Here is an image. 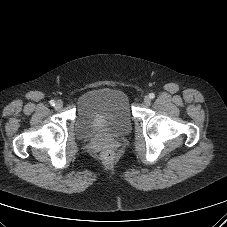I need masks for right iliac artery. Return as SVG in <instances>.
Returning a JSON list of instances; mask_svg holds the SVG:
<instances>
[{
    "label": "right iliac artery",
    "instance_id": "1",
    "mask_svg": "<svg viewBox=\"0 0 227 227\" xmlns=\"http://www.w3.org/2000/svg\"><path fill=\"white\" fill-rule=\"evenodd\" d=\"M50 105L51 106H55V101L54 100H50Z\"/></svg>",
    "mask_w": 227,
    "mask_h": 227
}]
</instances>
